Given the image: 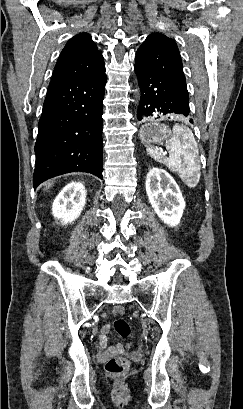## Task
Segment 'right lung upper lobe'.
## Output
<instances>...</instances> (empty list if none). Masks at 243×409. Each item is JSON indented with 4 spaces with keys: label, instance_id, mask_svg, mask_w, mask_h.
<instances>
[{
    "label": "right lung upper lobe",
    "instance_id": "1",
    "mask_svg": "<svg viewBox=\"0 0 243 409\" xmlns=\"http://www.w3.org/2000/svg\"><path fill=\"white\" fill-rule=\"evenodd\" d=\"M104 59L92 37L81 33L71 38L62 50L52 79L83 78L95 74L104 67Z\"/></svg>",
    "mask_w": 243,
    "mask_h": 409
}]
</instances>
